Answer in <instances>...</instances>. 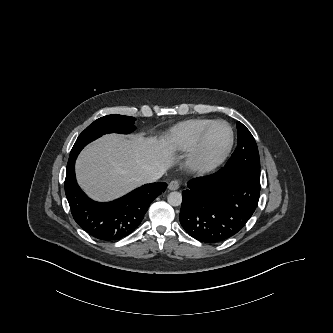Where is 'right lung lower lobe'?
Returning a JSON list of instances; mask_svg holds the SVG:
<instances>
[{
    "instance_id": "1",
    "label": "right lung lower lobe",
    "mask_w": 333,
    "mask_h": 333,
    "mask_svg": "<svg viewBox=\"0 0 333 333\" xmlns=\"http://www.w3.org/2000/svg\"><path fill=\"white\" fill-rule=\"evenodd\" d=\"M164 182L141 186L108 203L90 199L75 177V160L67 164L65 193L76 223L101 241H117L131 234L141 223L153 198L166 190Z\"/></svg>"
}]
</instances>
